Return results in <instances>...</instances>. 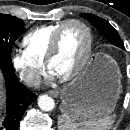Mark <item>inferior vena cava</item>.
Segmentation results:
<instances>
[{
	"label": "inferior vena cava",
	"mask_w": 130,
	"mask_h": 130,
	"mask_svg": "<svg viewBox=\"0 0 130 130\" xmlns=\"http://www.w3.org/2000/svg\"><path fill=\"white\" fill-rule=\"evenodd\" d=\"M23 81L29 86H39L41 84V77L38 75H26Z\"/></svg>",
	"instance_id": "inferior-vena-cava-1"
}]
</instances>
